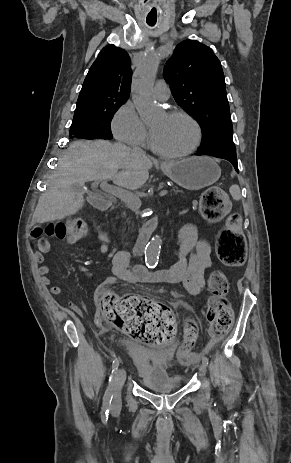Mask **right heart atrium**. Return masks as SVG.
Returning <instances> with one entry per match:
<instances>
[{"label":"right heart atrium","mask_w":291,"mask_h":463,"mask_svg":"<svg viewBox=\"0 0 291 463\" xmlns=\"http://www.w3.org/2000/svg\"><path fill=\"white\" fill-rule=\"evenodd\" d=\"M114 137L130 146L141 147L148 142V131L131 102L124 103L111 121Z\"/></svg>","instance_id":"d8ad5b80"}]
</instances>
